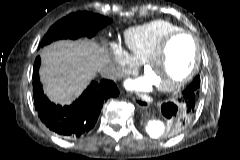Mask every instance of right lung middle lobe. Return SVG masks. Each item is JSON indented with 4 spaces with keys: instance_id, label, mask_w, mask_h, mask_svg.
Wrapping results in <instances>:
<instances>
[{
    "instance_id": "1",
    "label": "right lung middle lobe",
    "mask_w": 240,
    "mask_h": 160,
    "mask_svg": "<svg viewBox=\"0 0 240 160\" xmlns=\"http://www.w3.org/2000/svg\"><path fill=\"white\" fill-rule=\"evenodd\" d=\"M111 23V20L90 12L69 14L56 22L44 35L42 47L58 39H77L81 36L93 37L98 30Z\"/></svg>"
}]
</instances>
